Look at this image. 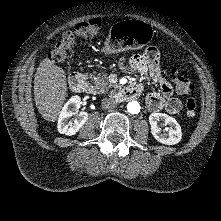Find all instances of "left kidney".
I'll return each instance as SVG.
<instances>
[{"instance_id": "left-kidney-1", "label": "left kidney", "mask_w": 221, "mask_h": 221, "mask_svg": "<svg viewBox=\"0 0 221 221\" xmlns=\"http://www.w3.org/2000/svg\"><path fill=\"white\" fill-rule=\"evenodd\" d=\"M157 121H163L165 125H168L164 132L158 127ZM149 123L151 125V133L157 141L166 145H175L181 141V127L175 118L165 113H152L149 116Z\"/></svg>"}]
</instances>
